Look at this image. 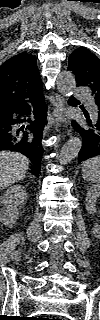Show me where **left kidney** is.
<instances>
[{"label":"left kidney","mask_w":100,"mask_h":320,"mask_svg":"<svg viewBox=\"0 0 100 320\" xmlns=\"http://www.w3.org/2000/svg\"><path fill=\"white\" fill-rule=\"evenodd\" d=\"M100 197V185H92L86 195V209L91 214H97L96 202ZM94 231L99 232L98 225L94 226Z\"/></svg>","instance_id":"left-kidney-1"}]
</instances>
